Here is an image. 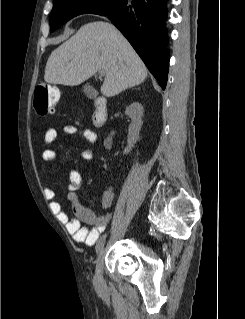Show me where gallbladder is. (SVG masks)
I'll return each instance as SVG.
<instances>
[{"mask_svg": "<svg viewBox=\"0 0 245 319\" xmlns=\"http://www.w3.org/2000/svg\"><path fill=\"white\" fill-rule=\"evenodd\" d=\"M83 91L88 97H95L97 95L96 90L88 84L83 87Z\"/></svg>", "mask_w": 245, "mask_h": 319, "instance_id": "bac80fb5", "label": "gallbladder"}]
</instances>
